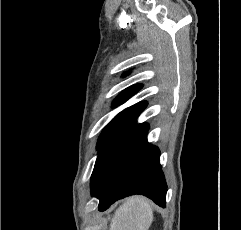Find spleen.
Returning a JSON list of instances; mask_svg holds the SVG:
<instances>
[{
  "label": "spleen",
  "instance_id": "spleen-1",
  "mask_svg": "<svg viewBox=\"0 0 241 230\" xmlns=\"http://www.w3.org/2000/svg\"><path fill=\"white\" fill-rule=\"evenodd\" d=\"M152 221V203L145 197L134 196L116 210L110 230H148Z\"/></svg>",
  "mask_w": 241,
  "mask_h": 230
}]
</instances>
